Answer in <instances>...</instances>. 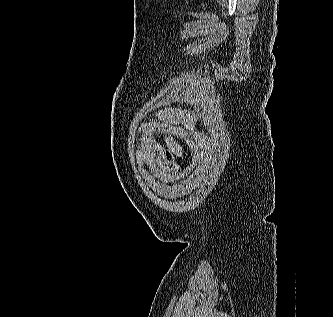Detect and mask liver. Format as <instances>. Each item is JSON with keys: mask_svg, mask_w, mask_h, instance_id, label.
<instances>
[{"mask_svg": "<svg viewBox=\"0 0 333 317\" xmlns=\"http://www.w3.org/2000/svg\"><path fill=\"white\" fill-rule=\"evenodd\" d=\"M165 143L168 147V149L176 156L181 157L183 154V148L178 144L176 140L173 138H170L168 136H165L164 138Z\"/></svg>", "mask_w": 333, "mask_h": 317, "instance_id": "6515ba94", "label": "liver"}]
</instances>
